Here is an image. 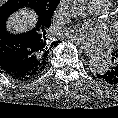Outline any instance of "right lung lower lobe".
Returning <instances> with one entry per match:
<instances>
[{
    "mask_svg": "<svg viewBox=\"0 0 118 118\" xmlns=\"http://www.w3.org/2000/svg\"><path fill=\"white\" fill-rule=\"evenodd\" d=\"M37 46L32 32L10 34L0 25V70L12 79L23 81L36 77Z\"/></svg>",
    "mask_w": 118,
    "mask_h": 118,
    "instance_id": "right-lung-lower-lobe-1",
    "label": "right lung lower lobe"
}]
</instances>
